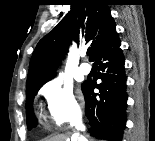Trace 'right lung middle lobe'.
I'll return each mask as SVG.
<instances>
[{"mask_svg": "<svg viewBox=\"0 0 155 141\" xmlns=\"http://www.w3.org/2000/svg\"><path fill=\"white\" fill-rule=\"evenodd\" d=\"M51 78H48L46 80H43L39 83H36L30 87H27L26 89V120H27V127L31 129V127H34L36 125V120L33 115V109L32 104L35 95L37 94L40 87L45 84L47 81H49Z\"/></svg>", "mask_w": 155, "mask_h": 141, "instance_id": "right-lung-middle-lobe-1", "label": "right lung middle lobe"}]
</instances>
